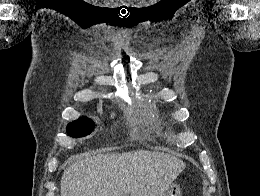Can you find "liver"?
Returning <instances> with one entry per match:
<instances>
[{
    "label": "liver",
    "mask_w": 260,
    "mask_h": 196,
    "mask_svg": "<svg viewBox=\"0 0 260 196\" xmlns=\"http://www.w3.org/2000/svg\"><path fill=\"white\" fill-rule=\"evenodd\" d=\"M185 168L163 152L81 154L63 174L61 196H165Z\"/></svg>",
    "instance_id": "obj_1"
}]
</instances>
